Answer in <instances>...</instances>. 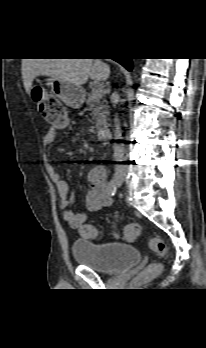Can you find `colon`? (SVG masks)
Returning a JSON list of instances; mask_svg holds the SVG:
<instances>
[{
	"instance_id": "colon-1",
	"label": "colon",
	"mask_w": 206,
	"mask_h": 348,
	"mask_svg": "<svg viewBox=\"0 0 206 348\" xmlns=\"http://www.w3.org/2000/svg\"><path fill=\"white\" fill-rule=\"evenodd\" d=\"M33 98L40 114L52 125L55 129H64L69 124V118L66 110L60 101L49 93L35 89ZM81 235L88 240L95 239L99 232L89 224L80 227ZM141 234V227L136 223L127 224L124 228V238L127 241H135ZM150 247L159 255L164 257L167 254V246L163 240L153 237L150 240ZM161 271V265L158 263L149 265L144 271V276H155Z\"/></svg>"
}]
</instances>
